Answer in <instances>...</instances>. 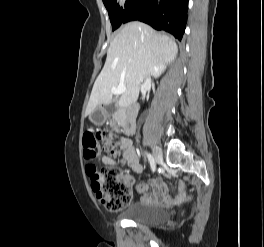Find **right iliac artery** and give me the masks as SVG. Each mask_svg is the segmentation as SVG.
<instances>
[{"label":"right iliac artery","mask_w":264,"mask_h":247,"mask_svg":"<svg viewBox=\"0 0 264 247\" xmlns=\"http://www.w3.org/2000/svg\"><path fill=\"white\" fill-rule=\"evenodd\" d=\"M146 155H147L148 161L150 163L151 170L154 173L155 170H156V165H155L154 158H153V156L151 154L147 153Z\"/></svg>","instance_id":"obj_1"}]
</instances>
